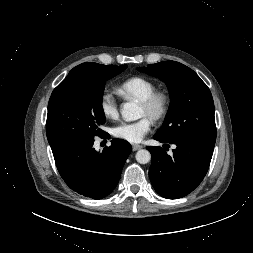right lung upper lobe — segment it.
Returning <instances> with one entry per match:
<instances>
[{
	"label": "right lung upper lobe",
	"instance_id": "obj_1",
	"mask_svg": "<svg viewBox=\"0 0 253 253\" xmlns=\"http://www.w3.org/2000/svg\"><path fill=\"white\" fill-rule=\"evenodd\" d=\"M109 65H102V64H98V63H92V62H87V63H82L76 67H74L69 75L66 78H71L74 76H77L79 74H86V73H90L96 70H99L101 68H105L108 67Z\"/></svg>",
	"mask_w": 253,
	"mask_h": 253
}]
</instances>
